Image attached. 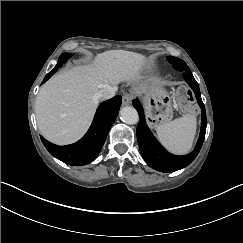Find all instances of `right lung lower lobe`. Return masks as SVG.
Returning a JSON list of instances; mask_svg holds the SVG:
<instances>
[{
    "mask_svg": "<svg viewBox=\"0 0 243 243\" xmlns=\"http://www.w3.org/2000/svg\"><path fill=\"white\" fill-rule=\"evenodd\" d=\"M121 102L122 97L115 96L101 103L90 129L78 142L67 146H58L41 136L44 146L50 154L66 164L82 166L90 163L98 156L103 147L108 132L116 119Z\"/></svg>",
    "mask_w": 243,
    "mask_h": 243,
    "instance_id": "right-lung-lower-lobe-1",
    "label": "right lung lower lobe"
}]
</instances>
